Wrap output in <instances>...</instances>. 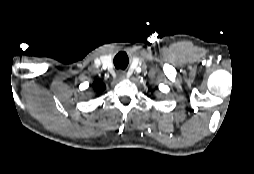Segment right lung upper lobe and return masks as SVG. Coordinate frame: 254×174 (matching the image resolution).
I'll list each match as a JSON object with an SVG mask.
<instances>
[{"mask_svg":"<svg viewBox=\"0 0 254 174\" xmlns=\"http://www.w3.org/2000/svg\"><path fill=\"white\" fill-rule=\"evenodd\" d=\"M93 88L95 90H97L98 92H101V91L105 90V84L100 80H96L93 83Z\"/></svg>","mask_w":254,"mask_h":174,"instance_id":"1","label":"right lung upper lobe"}]
</instances>
